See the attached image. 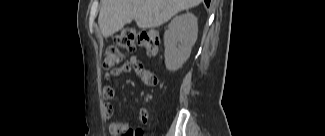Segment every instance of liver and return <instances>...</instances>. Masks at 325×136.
<instances>
[{"mask_svg":"<svg viewBox=\"0 0 325 136\" xmlns=\"http://www.w3.org/2000/svg\"><path fill=\"white\" fill-rule=\"evenodd\" d=\"M202 0H102L98 24L108 38L135 20L141 29L159 27L182 10L195 7Z\"/></svg>","mask_w":325,"mask_h":136,"instance_id":"obj_1","label":"liver"}]
</instances>
